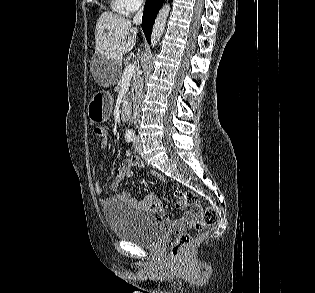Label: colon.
I'll list each match as a JSON object with an SVG mask.
<instances>
[{
	"label": "colon",
	"instance_id": "5ec220e1",
	"mask_svg": "<svg viewBox=\"0 0 315 293\" xmlns=\"http://www.w3.org/2000/svg\"><path fill=\"white\" fill-rule=\"evenodd\" d=\"M94 133L97 137L103 138L107 134V130L103 126H97L94 129ZM175 196L179 202L184 206L198 205L197 196L190 191L176 190ZM217 221V213L214 208L206 207L202 210L201 215L198 219H194L188 223L189 228L203 229L205 227L215 224ZM175 236L170 244L169 255L173 260L179 259L187 246L190 243V234L185 230H174Z\"/></svg>",
	"mask_w": 315,
	"mask_h": 293
}]
</instances>
